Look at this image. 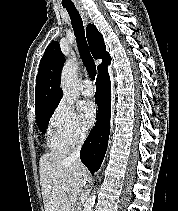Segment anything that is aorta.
Here are the masks:
<instances>
[{"label":"aorta","mask_w":178,"mask_h":211,"mask_svg":"<svg viewBox=\"0 0 178 211\" xmlns=\"http://www.w3.org/2000/svg\"><path fill=\"white\" fill-rule=\"evenodd\" d=\"M77 67L72 61H67L61 73V89L65 100L73 103L79 96L76 89ZM95 202V195L92 194L84 204L83 211H92Z\"/></svg>","instance_id":"aorta-1"}]
</instances>
